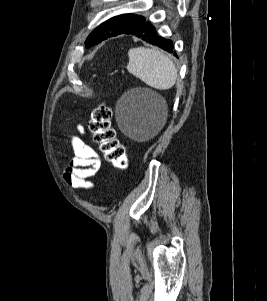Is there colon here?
<instances>
[{
    "instance_id": "1",
    "label": "colon",
    "mask_w": 267,
    "mask_h": 301,
    "mask_svg": "<svg viewBox=\"0 0 267 301\" xmlns=\"http://www.w3.org/2000/svg\"><path fill=\"white\" fill-rule=\"evenodd\" d=\"M111 115L108 106L97 105L91 111L88 128L105 159L118 169H126L129 165L128 157L111 125Z\"/></svg>"
}]
</instances>
